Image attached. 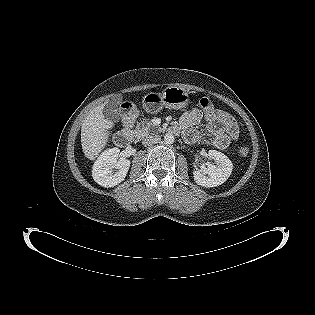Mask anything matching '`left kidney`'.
Segmentation results:
<instances>
[{
	"label": "left kidney",
	"mask_w": 315,
	"mask_h": 315,
	"mask_svg": "<svg viewBox=\"0 0 315 315\" xmlns=\"http://www.w3.org/2000/svg\"><path fill=\"white\" fill-rule=\"evenodd\" d=\"M208 157L213 159L215 164L206 162L193 172L195 182L206 188L223 184L230 177L233 169L231 160L219 151L209 150Z\"/></svg>",
	"instance_id": "5707ae66"
}]
</instances>
